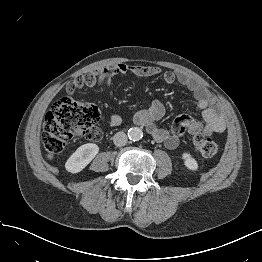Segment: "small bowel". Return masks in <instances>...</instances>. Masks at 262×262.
I'll use <instances>...</instances> for the list:
<instances>
[{
  "label": "small bowel",
  "mask_w": 262,
  "mask_h": 262,
  "mask_svg": "<svg viewBox=\"0 0 262 262\" xmlns=\"http://www.w3.org/2000/svg\"><path fill=\"white\" fill-rule=\"evenodd\" d=\"M159 72L160 69L155 66H129L125 63H117L101 67L90 73L92 80L86 83V86L106 88L110 85L112 79L118 75L130 73L136 77H149L157 75ZM164 79L168 84L178 82L194 96L197 107L201 110V121L194 120L186 114H181L175 119L172 131L161 128L156 125V122L164 116L165 109L160 101H155L148 107L139 110L134 117V121L145 127L147 132L157 141L173 149L178 146L182 135L186 132H202L206 136H210L226 131V122L220 113V104L197 79L183 72L173 71L166 72ZM109 124L111 127H117L121 124V118L118 115H112Z\"/></svg>",
  "instance_id": "1"
}]
</instances>
